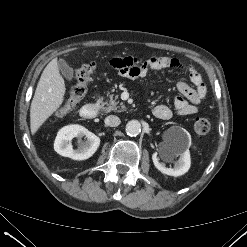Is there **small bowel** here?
Masks as SVG:
<instances>
[{"mask_svg":"<svg viewBox=\"0 0 247 247\" xmlns=\"http://www.w3.org/2000/svg\"><path fill=\"white\" fill-rule=\"evenodd\" d=\"M110 64L118 73L129 79L144 78L150 71L167 68L185 69L186 67L178 58L168 56H154L139 61L136 58L126 56L114 58ZM189 79L194 87L185 81L177 84L180 95L174 98V109L178 115H193L198 111V105L205 98L207 88L200 73L192 66L187 67ZM153 114L155 117L168 120L173 116V110L166 105H157Z\"/></svg>","mask_w":247,"mask_h":247,"instance_id":"small-bowel-1","label":"small bowel"}]
</instances>
